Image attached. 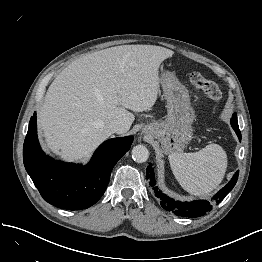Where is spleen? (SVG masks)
<instances>
[{
	"mask_svg": "<svg viewBox=\"0 0 262 262\" xmlns=\"http://www.w3.org/2000/svg\"><path fill=\"white\" fill-rule=\"evenodd\" d=\"M169 162L182 188L197 196L216 189L227 169L226 152L217 144L193 153H171Z\"/></svg>",
	"mask_w": 262,
	"mask_h": 262,
	"instance_id": "1",
	"label": "spleen"
}]
</instances>
